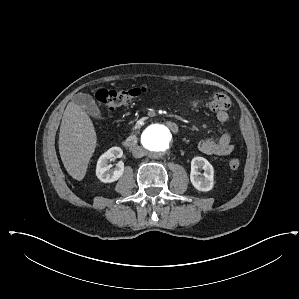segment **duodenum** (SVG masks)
I'll list each match as a JSON object with an SVG mask.
<instances>
[{
    "mask_svg": "<svg viewBox=\"0 0 299 299\" xmlns=\"http://www.w3.org/2000/svg\"><path fill=\"white\" fill-rule=\"evenodd\" d=\"M165 124L171 132L176 134L179 133L180 131L179 126L175 122L167 120ZM137 140H138L137 133L133 132L123 141V146L126 148L133 147L136 145Z\"/></svg>",
    "mask_w": 299,
    "mask_h": 299,
    "instance_id": "obj_1",
    "label": "duodenum"
}]
</instances>
